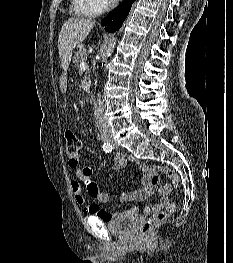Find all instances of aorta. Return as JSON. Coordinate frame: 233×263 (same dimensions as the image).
<instances>
[{
  "label": "aorta",
  "mask_w": 233,
  "mask_h": 263,
  "mask_svg": "<svg viewBox=\"0 0 233 263\" xmlns=\"http://www.w3.org/2000/svg\"><path fill=\"white\" fill-rule=\"evenodd\" d=\"M113 47H114V43H111V45H110V47H109V49H108V51H107V56H108V57L111 55V52H112Z\"/></svg>",
  "instance_id": "aorta-1"
}]
</instances>
